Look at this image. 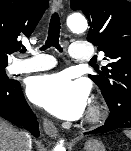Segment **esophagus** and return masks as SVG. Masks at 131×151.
Returning <instances> with one entry per match:
<instances>
[{
  "mask_svg": "<svg viewBox=\"0 0 131 151\" xmlns=\"http://www.w3.org/2000/svg\"><path fill=\"white\" fill-rule=\"evenodd\" d=\"M61 8H62V0H53V9L59 11ZM43 129L49 137L54 139L58 137V130L56 126L53 124V122L44 119Z\"/></svg>",
  "mask_w": 131,
  "mask_h": 151,
  "instance_id": "1",
  "label": "esophagus"
}]
</instances>
